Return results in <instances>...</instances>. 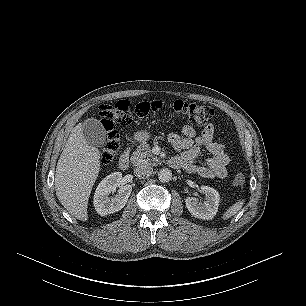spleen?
<instances>
[{"instance_id":"spleen-1","label":"spleen","mask_w":306,"mask_h":306,"mask_svg":"<svg viewBox=\"0 0 306 306\" xmlns=\"http://www.w3.org/2000/svg\"><path fill=\"white\" fill-rule=\"evenodd\" d=\"M244 202H245L244 199H242V200L235 202L232 206H230L224 213L223 219L226 220L236 215L243 207Z\"/></svg>"}]
</instances>
